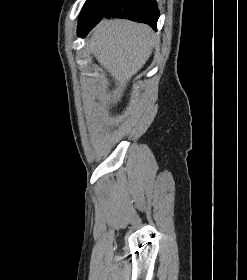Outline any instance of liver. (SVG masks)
Listing matches in <instances>:
<instances>
[{
	"label": "liver",
	"mask_w": 247,
	"mask_h": 280,
	"mask_svg": "<svg viewBox=\"0 0 247 280\" xmlns=\"http://www.w3.org/2000/svg\"><path fill=\"white\" fill-rule=\"evenodd\" d=\"M155 33L145 24L124 19H103L94 29L90 50L115 79L114 100L119 101L126 84L149 59Z\"/></svg>",
	"instance_id": "1"
}]
</instances>
